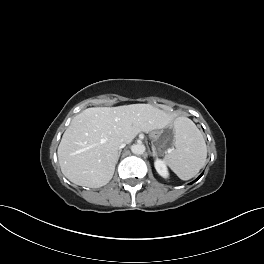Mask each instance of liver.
Here are the masks:
<instances>
[{
	"label": "liver",
	"instance_id": "obj_1",
	"mask_svg": "<svg viewBox=\"0 0 264 264\" xmlns=\"http://www.w3.org/2000/svg\"><path fill=\"white\" fill-rule=\"evenodd\" d=\"M173 117L150 104L88 108L76 115L58 147V161L71 182L90 188L113 177L120 141L166 127Z\"/></svg>",
	"mask_w": 264,
	"mask_h": 264
}]
</instances>
